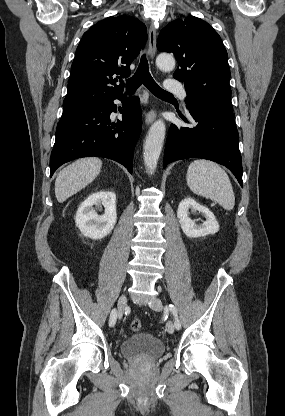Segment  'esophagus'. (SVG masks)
<instances>
[{
    "instance_id": "obj_1",
    "label": "esophagus",
    "mask_w": 285,
    "mask_h": 416,
    "mask_svg": "<svg viewBox=\"0 0 285 416\" xmlns=\"http://www.w3.org/2000/svg\"><path fill=\"white\" fill-rule=\"evenodd\" d=\"M149 40H148V53L150 58L153 61L155 52H156V30L153 23L150 25L149 28ZM156 118V111L150 110L145 116V123L146 125H151Z\"/></svg>"
}]
</instances>
